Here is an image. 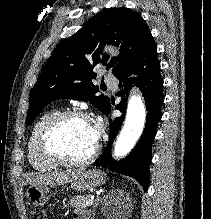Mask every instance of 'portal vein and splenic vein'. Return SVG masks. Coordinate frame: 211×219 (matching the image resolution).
<instances>
[{"label": "portal vein and splenic vein", "instance_id": "18ae733b", "mask_svg": "<svg viewBox=\"0 0 211 219\" xmlns=\"http://www.w3.org/2000/svg\"><path fill=\"white\" fill-rule=\"evenodd\" d=\"M93 202H94V196H91V197L89 198L88 202H87V206L92 205Z\"/></svg>", "mask_w": 211, "mask_h": 219}]
</instances>
